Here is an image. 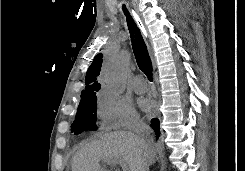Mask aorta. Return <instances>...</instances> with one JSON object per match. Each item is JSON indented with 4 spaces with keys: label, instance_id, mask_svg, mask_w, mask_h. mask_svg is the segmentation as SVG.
<instances>
[{
    "label": "aorta",
    "instance_id": "1",
    "mask_svg": "<svg viewBox=\"0 0 245 171\" xmlns=\"http://www.w3.org/2000/svg\"><path fill=\"white\" fill-rule=\"evenodd\" d=\"M130 64L131 53L123 50L106 66L103 83L110 92L122 93L124 91Z\"/></svg>",
    "mask_w": 245,
    "mask_h": 171
}]
</instances>
